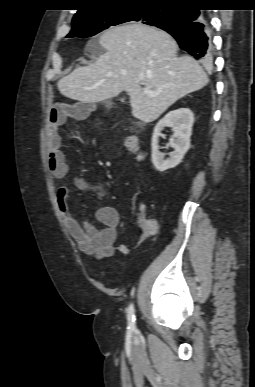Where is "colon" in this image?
<instances>
[{"mask_svg": "<svg viewBox=\"0 0 255 387\" xmlns=\"http://www.w3.org/2000/svg\"><path fill=\"white\" fill-rule=\"evenodd\" d=\"M124 146L128 151L133 153L140 162L145 161V154L141 148L139 140L135 136H126L124 138ZM137 226L141 236L149 237L156 234L158 223L155 218L148 217L142 210L137 215Z\"/></svg>", "mask_w": 255, "mask_h": 387, "instance_id": "5ec220e1", "label": "colon"}]
</instances>
